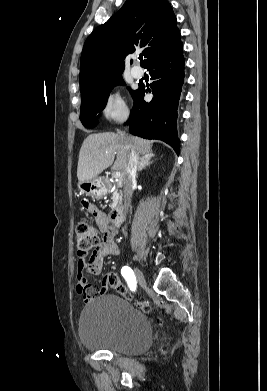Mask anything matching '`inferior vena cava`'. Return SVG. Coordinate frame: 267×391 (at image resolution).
I'll return each mask as SVG.
<instances>
[{"instance_id":"obj_1","label":"inferior vena cava","mask_w":267,"mask_h":391,"mask_svg":"<svg viewBox=\"0 0 267 391\" xmlns=\"http://www.w3.org/2000/svg\"><path fill=\"white\" fill-rule=\"evenodd\" d=\"M122 137H125V134L121 132ZM128 152V162L126 165L125 175L123 177V190H124V209L127 211L130 207L131 197L133 193V184L135 183L136 172L139 165V155L134 149L133 146H127Z\"/></svg>"}]
</instances>
